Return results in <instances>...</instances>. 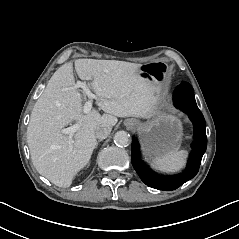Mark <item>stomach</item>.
<instances>
[{
    "mask_svg": "<svg viewBox=\"0 0 239 239\" xmlns=\"http://www.w3.org/2000/svg\"><path fill=\"white\" fill-rule=\"evenodd\" d=\"M141 76L161 84L166 80L165 72L148 68L141 69ZM136 130L143 155L148 161H155L171 152H177L180 148L183 127L174 111H158L151 120L139 122Z\"/></svg>",
    "mask_w": 239,
    "mask_h": 239,
    "instance_id": "obj_1",
    "label": "stomach"
}]
</instances>
